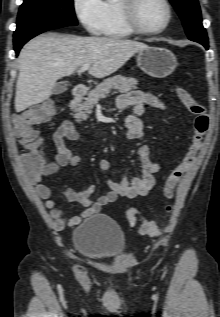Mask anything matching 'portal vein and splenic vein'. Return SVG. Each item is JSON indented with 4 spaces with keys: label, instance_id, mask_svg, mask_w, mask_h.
<instances>
[{
    "label": "portal vein and splenic vein",
    "instance_id": "obj_1",
    "mask_svg": "<svg viewBox=\"0 0 220 317\" xmlns=\"http://www.w3.org/2000/svg\"><path fill=\"white\" fill-rule=\"evenodd\" d=\"M89 68H90V64H85V65H83V66L80 68L79 73L81 74V73L87 71Z\"/></svg>",
    "mask_w": 220,
    "mask_h": 317
}]
</instances>
